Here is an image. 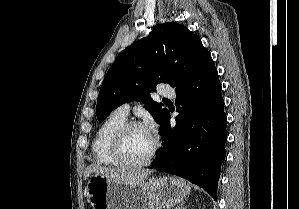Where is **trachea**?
I'll return each mask as SVG.
<instances>
[{"label":"trachea","instance_id":"trachea-1","mask_svg":"<svg viewBox=\"0 0 299 209\" xmlns=\"http://www.w3.org/2000/svg\"><path fill=\"white\" fill-rule=\"evenodd\" d=\"M163 101H168V102H169V100H168V99H163Z\"/></svg>","mask_w":299,"mask_h":209}]
</instances>
